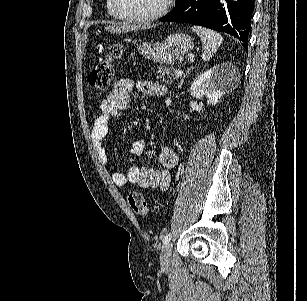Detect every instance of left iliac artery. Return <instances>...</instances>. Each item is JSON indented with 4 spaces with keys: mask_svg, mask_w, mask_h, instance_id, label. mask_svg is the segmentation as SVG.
<instances>
[{
    "mask_svg": "<svg viewBox=\"0 0 307 301\" xmlns=\"http://www.w3.org/2000/svg\"><path fill=\"white\" fill-rule=\"evenodd\" d=\"M170 239H171V233H168L163 239V244H166L167 242H169Z\"/></svg>",
    "mask_w": 307,
    "mask_h": 301,
    "instance_id": "44dca946",
    "label": "left iliac artery"
}]
</instances>
